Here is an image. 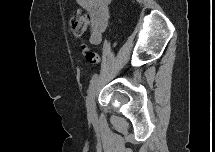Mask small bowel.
Returning <instances> with one entry per match:
<instances>
[{
  "instance_id": "c3829d8e",
  "label": "small bowel",
  "mask_w": 215,
  "mask_h": 152,
  "mask_svg": "<svg viewBox=\"0 0 215 152\" xmlns=\"http://www.w3.org/2000/svg\"><path fill=\"white\" fill-rule=\"evenodd\" d=\"M79 6L87 11L90 17L91 33L89 41L98 45L109 21L110 0H78Z\"/></svg>"
}]
</instances>
